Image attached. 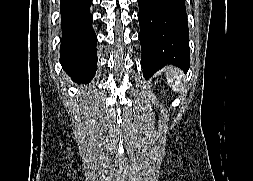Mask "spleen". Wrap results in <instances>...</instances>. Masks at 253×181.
I'll use <instances>...</instances> for the list:
<instances>
[{
  "label": "spleen",
  "instance_id": "3e777b00",
  "mask_svg": "<svg viewBox=\"0 0 253 181\" xmlns=\"http://www.w3.org/2000/svg\"><path fill=\"white\" fill-rule=\"evenodd\" d=\"M165 75L168 84L170 85L171 89L174 92H178L179 90L183 89L184 86L182 84V74L180 70L174 68V67H167L165 69Z\"/></svg>",
  "mask_w": 253,
  "mask_h": 181
}]
</instances>
